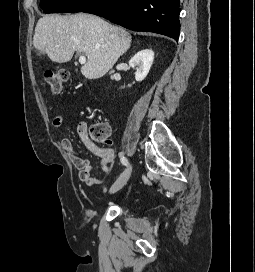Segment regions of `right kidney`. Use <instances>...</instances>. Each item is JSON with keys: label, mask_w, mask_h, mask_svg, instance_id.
Here are the masks:
<instances>
[{"label": "right kidney", "mask_w": 255, "mask_h": 272, "mask_svg": "<svg viewBox=\"0 0 255 272\" xmlns=\"http://www.w3.org/2000/svg\"><path fill=\"white\" fill-rule=\"evenodd\" d=\"M154 60V52L151 49H144L136 53L130 60L129 65L136 67L135 79L141 82L145 79Z\"/></svg>", "instance_id": "obj_1"}]
</instances>
